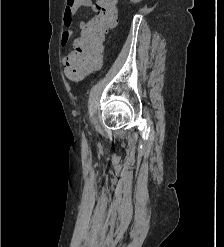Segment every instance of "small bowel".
<instances>
[{"mask_svg":"<svg viewBox=\"0 0 224 247\" xmlns=\"http://www.w3.org/2000/svg\"><path fill=\"white\" fill-rule=\"evenodd\" d=\"M80 7H86L91 9L92 11H96L97 6L93 2V0H73L72 6L68 7L66 6L64 13H63V27L64 31L61 35V45L66 46L69 43L70 37L73 34L74 31V16L78 8ZM86 22H80L79 26L83 30L86 27ZM78 42L76 41L74 43V47L77 48ZM72 57V54L70 53L67 56V60Z\"/></svg>","mask_w":224,"mask_h":247,"instance_id":"small-bowel-1","label":"small bowel"}]
</instances>
